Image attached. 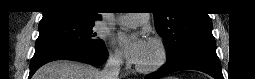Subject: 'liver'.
I'll return each mask as SVG.
<instances>
[{"label":"liver","mask_w":255,"mask_h":79,"mask_svg":"<svg viewBox=\"0 0 255 79\" xmlns=\"http://www.w3.org/2000/svg\"><path fill=\"white\" fill-rule=\"evenodd\" d=\"M95 67L71 60H57L42 66L33 79H101Z\"/></svg>","instance_id":"obj_1"}]
</instances>
